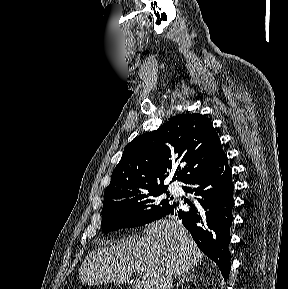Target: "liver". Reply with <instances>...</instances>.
<instances>
[{"instance_id": "1", "label": "liver", "mask_w": 288, "mask_h": 289, "mask_svg": "<svg viewBox=\"0 0 288 289\" xmlns=\"http://www.w3.org/2000/svg\"><path fill=\"white\" fill-rule=\"evenodd\" d=\"M144 233L116 244L100 242L79 268L81 281L89 286L124 284L135 273L141 289H162L168 275L184 276L203 258L188 231L173 218L149 224Z\"/></svg>"}]
</instances>
